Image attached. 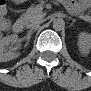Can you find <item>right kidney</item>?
<instances>
[{"mask_svg":"<svg viewBox=\"0 0 91 91\" xmlns=\"http://www.w3.org/2000/svg\"><path fill=\"white\" fill-rule=\"evenodd\" d=\"M18 42V35L13 34L4 37L0 40V61L7 62L15 59L19 56V53L9 50V44H15Z\"/></svg>","mask_w":91,"mask_h":91,"instance_id":"ca27d5eb","label":"right kidney"}]
</instances>
